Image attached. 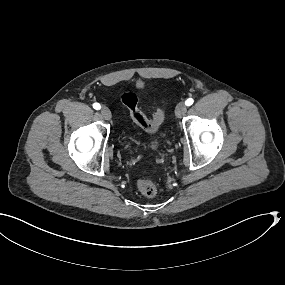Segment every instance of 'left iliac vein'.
I'll return each mask as SVG.
<instances>
[{"mask_svg": "<svg viewBox=\"0 0 285 285\" xmlns=\"http://www.w3.org/2000/svg\"><path fill=\"white\" fill-rule=\"evenodd\" d=\"M187 112V106L184 102H180L178 103V105L176 106V109H175V115L177 118H181L183 116H185Z\"/></svg>", "mask_w": 285, "mask_h": 285, "instance_id": "4c4485c4", "label": "left iliac vein"}]
</instances>
